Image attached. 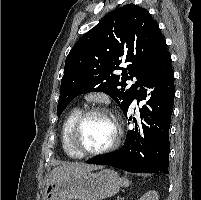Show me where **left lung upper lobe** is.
Here are the masks:
<instances>
[{"label": "left lung upper lobe", "instance_id": "5c2ea615", "mask_svg": "<svg viewBox=\"0 0 201 200\" xmlns=\"http://www.w3.org/2000/svg\"><path fill=\"white\" fill-rule=\"evenodd\" d=\"M167 52L157 22L134 4L118 8L104 17L73 46L65 61L57 114L78 95L104 92L124 113L137 88ZM126 63L127 68L119 65ZM121 69V77L114 74ZM136 78L129 89L126 81Z\"/></svg>", "mask_w": 201, "mask_h": 200}]
</instances>
